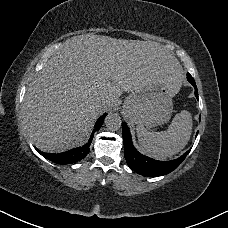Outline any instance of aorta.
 Masks as SVG:
<instances>
[{
    "mask_svg": "<svg viewBox=\"0 0 228 228\" xmlns=\"http://www.w3.org/2000/svg\"><path fill=\"white\" fill-rule=\"evenodd\" d=\"M121 123V117L117 113H109L105 119L106 127L111 131L119 130Z\"/></svg>",
    "mask_w": 228,
    "mask_h": 228,
    "instance_id": "762f6f07",
    "label": "aorta"
}]
</instances>
